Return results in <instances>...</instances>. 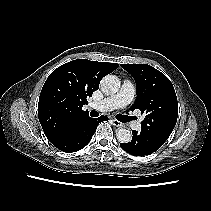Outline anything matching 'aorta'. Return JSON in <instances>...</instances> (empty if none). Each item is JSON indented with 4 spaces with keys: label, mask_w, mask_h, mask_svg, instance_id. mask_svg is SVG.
Wrapping results in <instances>:
<instances>
[{
    "label": "aorta",
    "mask_w": 211,
    "mask_h": 211,
    "mask_svg": "<svg viewBox=\"0 0 211 211\" xmlns=\"http://www.w3.org/2000/svg\"><path fill=\"white\" fill-rule=\"evenodd\" d=\"M100 86L103 93L112 95L119 91L120 80L115 75H106L101 80ZM116 137L120 143H128L132 139V133L129 129L120 128L116 133Z\"/></svg>",
    "instance_id": "762f6f07"
}]
</instances>
